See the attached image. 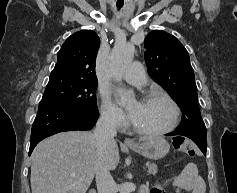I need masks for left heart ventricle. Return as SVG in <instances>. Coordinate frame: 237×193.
I'll use <instances>...</instances> for the list:
<instances>
[{"mask_svg": "<svg viewBox=\"0 0 237 193\" xmlns=\"http://www.w3.org/2000/svg\"><path fill=\"white\" fill-rule=\"evenodd\" d=\"M132 122L146 130H161L168 127L173 118L172 107L163 99L135 101L129 106Z\"/></svg>", "mask_w": 237, "mask_h": 193, "instance_id": "1", "label": "left heart ventricle"}]
</instances>
